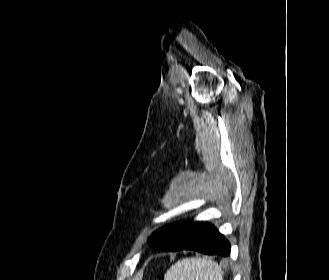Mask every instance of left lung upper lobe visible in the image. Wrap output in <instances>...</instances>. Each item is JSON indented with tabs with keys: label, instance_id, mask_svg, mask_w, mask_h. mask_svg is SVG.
<instances>
[{
	"label": "left lung upper lobe",
	"instance_id": "1",
	"mask_svg": "<svg viewBox=\"0 0 329 280\" xmlns=\"http://www.w3.org/2000/svg\"><path fill=\"white\" fill-rule=\"evenodd\" d=\"M168 238L164 236L162 232V228L156 232H154L151 237L148 239V243L150 246L161 249L167 245Z\"/></svg>",
	"mask_w": 329,
	"mask_h": 280
}]
</instances>
